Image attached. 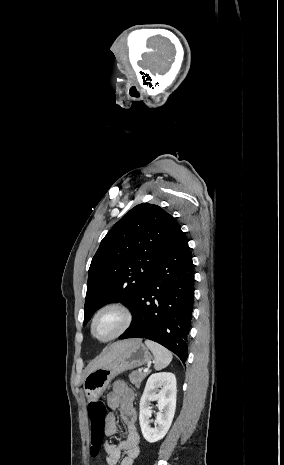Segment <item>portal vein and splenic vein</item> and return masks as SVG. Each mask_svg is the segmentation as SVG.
<instances>
[{
  "mask_svg": "<svg viewBox=\"0 0 284 465\" xmlns=\"http://www.w3.org/2000/svg\"><path fill=\"white\" fill-rule=\"evenodd\" d=\"M143 369H139V373H142ZM143 373H146V371H143Z\"/></svg>",
  "mask_w": 284,
  "mask_h": 465,
  "instance_id": "portal-vein-and-splenic-vein-1",
  "label": "portal vein and splenic vein"
}]
</instances>
